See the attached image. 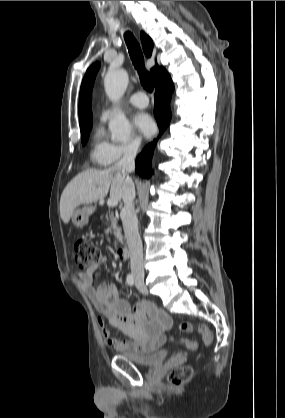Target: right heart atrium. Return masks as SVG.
Wrapping results in <instances>:
<instances>
[{
    "label": "right heart atrium",
    "instance_id": "d8ad5b80",
    "mask_svg": "<svg viewBox=\"0 0 285 418\" xmlns=\"http://www.w3.org/2000/svg\"><path fill=\"white\" fill-rule=\"evenodd\" d=\"M140 147L141 145L137 138H132L128 142L113 144L108 153V165H116L121 161L136 156L140 151Z\"/></svg>",
    "mask_w": 285,
    "mask_h": 418
}]
</instances>
